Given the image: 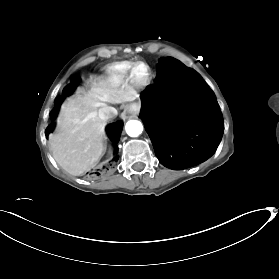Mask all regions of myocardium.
I'll return each mask as SVG.
<instances>
[{"instance_id":"obj_1","label":"myocardium","mask_w":279,"mask_h":279,"mask_svg":"<svg viewBox=\"0 0 279 279\" xmlns=\"http://www.w3.org/2000/svg\"><path fill=\"white\" fill-rule=\"evenodd\" d=\"M138 66L146 67L147 73L145 76H143V77L137 76L136 69ZM151 77H152V69H151L150 65L148 63H146L145 61H135L131 64L130 70H129V79L131 80V82L134 85H136L138 87L146 86L147 84H149Z\"/></svg>"}]
</instances>
